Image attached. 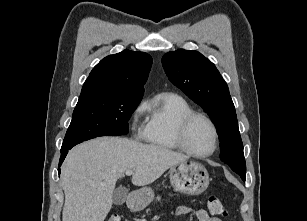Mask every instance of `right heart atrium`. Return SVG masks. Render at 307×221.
I'll use <instances>...</instances> for the list:
<instances>
[{
    "mask_svg": "<svg viewBox=\"0 0 307 221\" xmlns=\"http://www.w3.org/2000/svg\"><path fill=\"white\" fill-rule=\"evenodd\" d=\"M145 110V104L138 105L132 113V127L135 130L136 137H144V128L140 121L141 116Z\"/></svg>",
    "mask_w": 307,
    "mask_h": 221,
    "instance_id": "obj_1",
    "label": "right heart atrium"
}]
</instances>
